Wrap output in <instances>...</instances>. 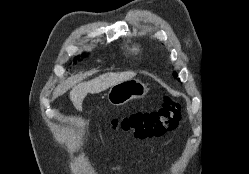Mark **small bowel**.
<instances>
[{"label": "small bowel", "mask_w": 249, "mask_h": 174, "mask_svg": "<svg viewBox=\"0 0 249 174\" xmlns=\"http://www.w3.org/2000/svg\"><path fill=\"white\" fill-rule=\"evenodd\" d=\"M119 169H120V167L117 166V167L113 168V171H116V170H119Z\"/></svg>", "instance_id": "c3829d8e"}]
</instances>
